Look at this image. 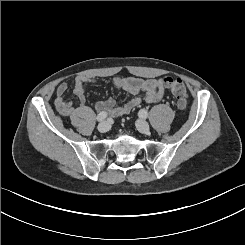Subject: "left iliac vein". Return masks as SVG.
Instances as JSON below:
<instances>
[{"instance_id":"1","label":"left iliac vein","mask_w":245,"mask_h":245,"mask_svg":"<svg viewBox=\"0 0 245 245\" xmlns=\"http://www.w3.org/2000/svg\"><path fill=\"white\" fill-rule=\"evenodd\" d=\"M136 127L137 129L141 132V133H144V134H148L149 133V125L148 123L143 120V119H139L137 120L136 122Z\"/></svg>"}]
</instances>
